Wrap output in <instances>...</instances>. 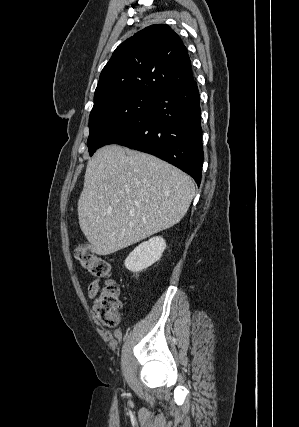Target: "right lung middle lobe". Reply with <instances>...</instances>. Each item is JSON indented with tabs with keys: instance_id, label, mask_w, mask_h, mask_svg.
I'll return each instance as SVG.
<instances>
[{
	"instance_id": "obj_1",
	"label": "right lung middle lobe",
	"mask_w": 299,
	"mask_h": 427,
	"mask_svg": "<svg viewBox=\"0 0 299 427\" xmlns=\"http://www.w3.org/2000/svg\"><path fill=\"white\" fill-rule=\"evenodd\" d=\"M153 99L138 93H118L95 102L89 116V154L126 130Z\"/></svg>"
}]
</instances>
